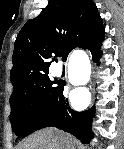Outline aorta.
I'll return each instance as SVG.
<instances>
[{
	"label": "aorta",
	"mask_w": 124,
	"mask_h": 149,
	"mask_svg": "<svg viewBox=\"0 0 124 149\" xmlns=\"http://www.w3.org/2000/svg\"><path fill=\"white\" fill-rule=\"evenodd\" d=\"M73 75H83L85 78L89 75V61L86 56L82 55L79 60L72 59L70 62L69 77Z\"/></svg>",
	"instance_id": "aorta-1"
}]
</instances>
